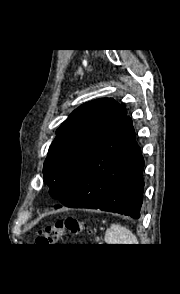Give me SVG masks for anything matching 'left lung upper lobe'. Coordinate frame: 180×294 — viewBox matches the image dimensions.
<instances>
[{
    "label": "left lung upper lobe",
    "instance_id": "5c2ea615",
    "mask_svg": "<svg viewBox=\"0 0 180 294\" xmlns=\"http://www.w3.org/2000/svg\"><path fill=\"white\" fill-rule=\"evenodd\" d=\"M126 108L112 98L78 107L56 131L44 162V183L55 199L64 198L89 160L116 127Z\"/></svg>",
    "mask_w": 180,
    "mask_h": 294
}]
</instances>
